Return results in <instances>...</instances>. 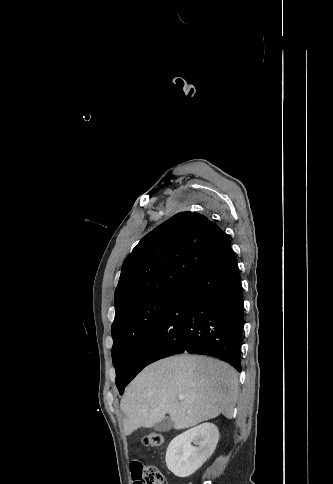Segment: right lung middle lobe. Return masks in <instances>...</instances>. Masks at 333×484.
<instances>
[{"instance_id":"1","label":"right lung middle lobe","mask_w":333,"mask_h":484,"mask_svg":"<svg viewBox=\"0 0 333 484\" xmlns=\"http://www.w3.org/2000/svg\"><path fill=\"white\" fill-rule=\"evenodd\" d=\"M177 293L178 290L162 292L136 305L114 320L111 328L112 360L116 369V385L120 394H123L127 385L141 344Z\"/></svg>"}]
</instances>
